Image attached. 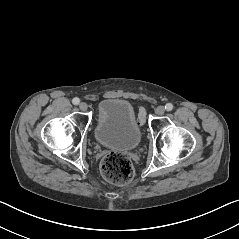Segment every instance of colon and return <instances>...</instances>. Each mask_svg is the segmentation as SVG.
Returning <instances> with one entry per match:
<instances>
[{
    "instance_id": "5ec220e1",
    "label": "colon",
    "mask_w": 239,
    "mask_h": 239,
    "mask_svg": "<svg viewBox=\"0 0 239 239\" xmlns=\"http://www.w3.org/2000/svg\"><path fill=\"white\" fill-rule=\"evenodd\" d=\"M144 114L140 113L142 121ZM100 172L102 177L113 185H122L129 182L134 175L132 162L124 155L111 152L105 155L101 161Z\"/></svg>"
}]
</instances>
